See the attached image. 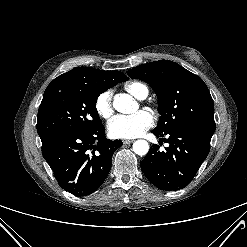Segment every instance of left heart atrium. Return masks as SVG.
Masks as SVG:
<instances>
[{
  "label": "left heart atrium",
  "instance_id": "1",
  "mask_svg": "<svg viewBox=\"0 0 247 247\" xmlns=\"http://www.w3.org/2000/svg\"><path fill=\"white\" fill-rule=\"evenodd\" d=\"M152 124V116L147 111L141 110L132 115L115 116L108 124V132L113 138H136Z\"/></svg>",
  "mask_w": 247,
  "mask_h": 247
}]
</instances>
